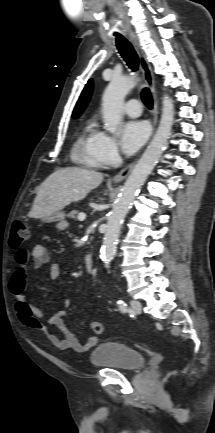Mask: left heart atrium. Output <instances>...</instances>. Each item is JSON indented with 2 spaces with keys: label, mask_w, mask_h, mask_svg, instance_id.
<instances>
[{
  "label": "left heart atrium",
  "mask_w": 215,
  "mask_h": 433,
  "mask_svg": "<svg viewBox=\"0 0 215 433\" xmlns=\"http://www.w3.org/2000/svg\"><path fill=\"white\" fill-rule=\"evenodd\" d=\"M149 135V127L145 121L132 120L122 126L121 146L124 153H135L146 141Z\"/></svg>",
  "instance_id": "39dd6f15"
}]
</instances>
